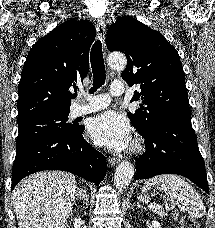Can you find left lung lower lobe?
<instances>
[{
    "mask_svg": "<svg viewBox=\"0 0 215 228\" xmlns=\"http://www.w3.org/2000/svg\"><path fill=\"white\" fill-rule=\"evenodd\" d=\"M144 139L146 151L135 158V180L178 174L209 193L205 164L190 118L161 121Z\"/></svg>",
    "mask_w": 215,
    "mask_h": 228,
    "instance_id": "0a47b994",
    "label": "left lung lower lobe"
}]
</instances>
